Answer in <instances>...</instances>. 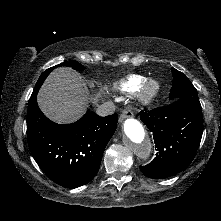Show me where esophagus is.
<instances>
[{
  "instance_id": "obj_1",
  "label": "esophagus",
  "mask_w": 221,
  "mask_h": 221,
  "mask_svg": "<svg viewBox=\"0 0 221 221\" xmlns=\"http://www.w3.org/2000/svg\"><path fill=\"white\" fill-rule=\"evenodd\" d=\"M133 115L132 111L130 109H124L119 117V122H122L126 118H129Z\"/></svg>"
}]
</instances>
